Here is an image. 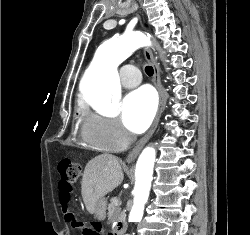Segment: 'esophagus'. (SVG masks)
I'll list each match as a JSON object with an SVG mask.
<instances>
[{
	"mask_svg": "<svg viewBox=\"0 0 250 235\" xmlns=\"http://www.w3.org/2000/svg\"><path fill=\"white\" fill-rule=\"evenodd\" d=\"M144 56L146 60L152 65L153 70H154V77H153V82L155 87L157 88L158 94H159V105H158V110L156 113V116L154 118V121L148 130V132L139 140V142L136 144V146L132 149V151L128 154L126 157V162H132L135 160L142 150V148L145 146V144L148 142V140L151 138L153 133L155 132L157 125L159 123L160 117L162 115L164 105L166 102V97H165V92L161 83V78H160V70L159 66L157 64V61L155 57L153 56L151 50L149 48L144 49Z\"/></svg>",
	"mask_w": 250,
	"mask_h": 235,
	"instance_id": "34e87169",
	"label": "esophagus"
}]
</instances>
